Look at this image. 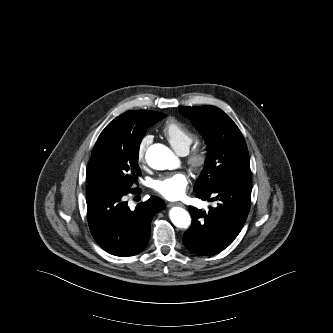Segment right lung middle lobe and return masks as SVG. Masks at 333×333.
I'll list each match as a JSON object with an SVG mask.
<instances>
[{
  "label": "right lung middle lobe",
  "mask_w": 333,
  "mask_h": 333,
  "mask_svg": "<svg viewBox=\"0 0 333 333\" xmlns=\"http://www.w3.org/2000/svg\"><path fill=\"white\" fill-rule=\"evenodd\" d=\"M166 115L150 111L132 116V124L106 126L92 151L88 188L129 190L141 175L140 142L146 128Z\"/></svg>",
  "instance_id": "right-lung-middle-lobe-1"
}]
</instances>
